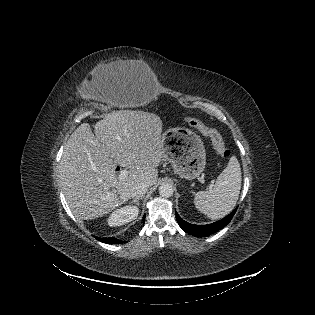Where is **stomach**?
I'll return each mask as SVG.
<instances>
[{
    "instance_id": "1",
    "label": "stomach",
    "mask_w": 315,
    "mask_h": 315,
    "mask_svg": "<svg viewBox=\"0 0 315 315\" xmlns=\"http://www.w3.org/2000/svg\"><path fill=\"white\" fill-rule=\"evenodd\" d=\"M164 158L181 178L192 180L198 177L206 165L203 141L190 129L169 128L163 133Z\"/></svg>"
}]
</instances>
